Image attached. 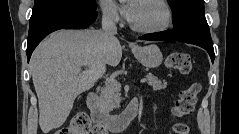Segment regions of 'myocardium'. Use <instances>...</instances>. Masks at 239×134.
I'll return each instance as SVG.
<instances>
[{
	"instance_id": "myocardium-1",
	"label": "myocardium",
	"mask_w": 239,
	"mask_h": 134,
	"mask_svg": "<svg viewBox=\"0 0 239 134\" xmlns=\"http://www.w3.org/2000/svg\"><path fill=\"white\" fill-rule=\"evenodd\" d=\"M150 2L155 3L159 7L162 8L164 12V20L163 22L156 26V27H138L130 23L131 28L139 33H144V34H156L165 31L166 29L169 28V26L172 23V11L168 3L164 0H147Z\"/></svg>"
}]
</instances>
